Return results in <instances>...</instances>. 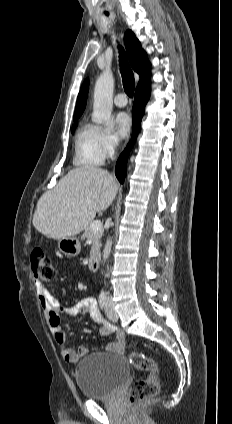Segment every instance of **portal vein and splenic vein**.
Instances as JSON below:
<instances>
[{
  "instance_id": "18ae733b",
  "label": "portal vein and splenic vein",
  "mask_w": 232,
  "mask_h": 424,
  "mask_svg": "<svg viewBox=\"0 0 232 424\" xmlns=\"http://www.w3.org/2000/svg\"><path fill=\"white\" fill-rule=\"evenodd\" d=\"M91 229H92L93 231L101 230V229H102V222H101V221H99V220L94 221V222L91 224Z\"/></svg>"
}]
</instances>
